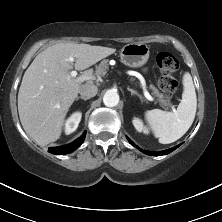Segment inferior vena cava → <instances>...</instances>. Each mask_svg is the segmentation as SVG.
<instances>
[{"label": "inferior vena cava", "mask_w": 222, "mask_h": 222, "mask_svg": "<svg viewBox=\"0 0 222 222\" xmlns=\"http://www.w3.org/2000/svg\"><path fill=\"white\" fill-rule=\"evenodd\" d=\"M98 88L92 83H86L81 86L79 94L85 98L94 97L97 94Z\"/></svg>", "instance_id": "1"}]
</instances>
